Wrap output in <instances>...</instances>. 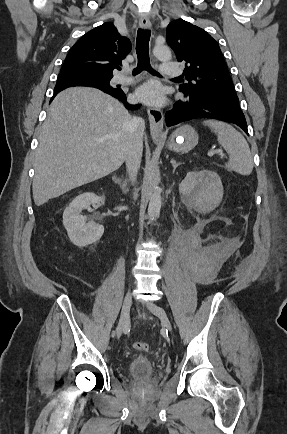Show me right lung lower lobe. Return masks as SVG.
I'll list each match as a JSON object with an SVG mask.
<instances>
[{
	"mask_svg": "<svg viewBox=\"0 0 287 434\" xmlns=\"http://www.w3.org/2000/svg\"><path fill=\"white\" fill-rule=\"evenodd\" d=\"M67 87H71V86H62L60 88L55 87L54 96H56L61 90L65 89ZM99 89H101L105 93H107V94L119 99L120 101H122L127 109L135 110V109L139 108V105H131L127 102L126 95L120 88H115L113 90L102 89V88H99Z\"/></svg>",
	"mask_w": 287,
	"mask_h": 434,
	"instance_id": "obj_1",
	"label": "right lung lower lobe"
}]
</instances>
